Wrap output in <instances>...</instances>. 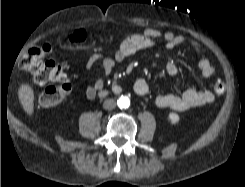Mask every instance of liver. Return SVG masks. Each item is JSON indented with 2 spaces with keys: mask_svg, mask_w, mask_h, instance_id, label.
Here are the masks:
<instances>
[{
  "mask_svg": "<svg viewBox=\"0 0 245 187\" xmlns=\"http://www.w3.org/2000/svg\"><path fill=\"white\" fill-rule=\"evenodd\" d=\"M18 97L24 111L28 115H32L34 112V91L28 84H22L18 90Z\"/></svg>",
  "mask_w": 245,
  "mask_h": 187,
  "instance_id": "liver-1",
  "label": "liver"
}]
</instances>
